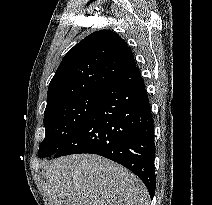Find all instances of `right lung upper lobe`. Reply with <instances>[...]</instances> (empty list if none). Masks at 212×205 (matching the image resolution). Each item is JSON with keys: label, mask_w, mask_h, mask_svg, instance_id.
<instances>
[{"label": "right lung upper lobe", "mask_w": 212, "mask_h": 205, "mask_svg": "<svg viewBox=\"0 0 212 205\" xmlns=\"http://www.w3.org/2000/svg\"><path fill=\"white\" fill-rule=\"evenodd\" d=\"M136 66L133 53L115 32L100 30L70 49L53 76L45 112L69 99L102 92Z\"/></svg>", "instance_id": "obj_1"}]
</instances>
